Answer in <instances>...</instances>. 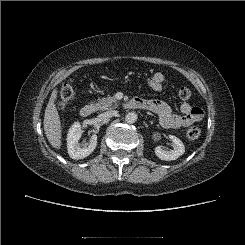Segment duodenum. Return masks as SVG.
Segmentation results:
<instances>
[{"instance_id":"duodenum-1","label":"duodenum","mask_w":245,"mask_h":245,"mask_svg":"<svg viewBox=\"0 0 245 245\" xmlns=\"http://www.w3.org/2000/svg\"><path fill=\"white\" fill-rule=\"evenodd\" d=\"M144 106V102L142 100H132L125 104L126 108H142ZM95 111V107L92 104H86L80 109V115L82 117H90Z\"/></svg>"}]
</instances>
